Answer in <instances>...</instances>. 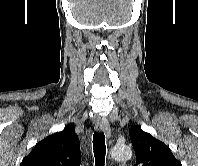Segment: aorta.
Masks as SVG:
<instances>
[{"label":"aorta","mask_w":198,"mask_h":166,"mask_svg":"<svg viewBox=\"0 0 198 166\" xmlns=\"http://www.w3.org/2000/svg\"><path fill=\"white\" fill-rule=\"evenodd\" d=\"M111 156L118 161H126L132 157V150L126 145H116L111 150Z\"/></svg>","instance_id":"1"}]
</instances>
